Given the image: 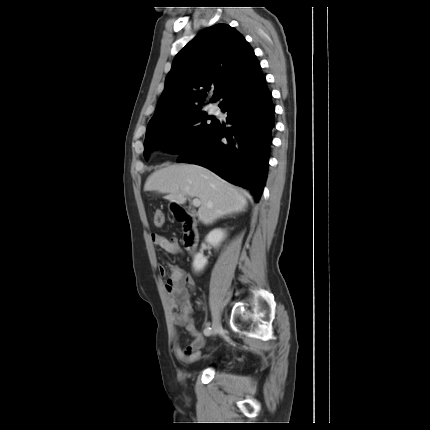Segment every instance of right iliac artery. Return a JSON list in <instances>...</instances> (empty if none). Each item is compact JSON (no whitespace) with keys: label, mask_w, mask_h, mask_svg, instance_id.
Here are the masks:
<instances>
[{"label":"right iliac artery","mask_w":430,"mask_h":430,"mask_svg":"<svg viewBox=\"0 0 430 430\" xmlns=\"http://www.w3.org/2000/svg\"><path fill=\"white\" fill-rule=\"evenodd\" d=\"M211 328L210 327H208V328H206L205 330H204V334L206 335V336H209L210 334H211Z\"/></svg>","instance_id":"obj_1"}]
</instances>
